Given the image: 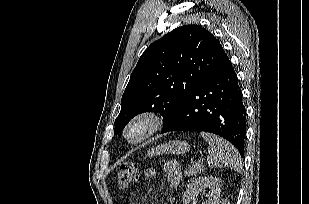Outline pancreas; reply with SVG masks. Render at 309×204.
<instances>
[{
  "label": "pancreas",
  "instance_id": "pancreas-1",
  "mask_svg": "<svg viewBox=\"0 0 309 204\" xmlns=\"http://www.w3.org/2000/svg\"><path fill=\"white\" fill-rule=\"evenodd\" d=\"M204 171V166L201 163H192L184 171L186 176H193Z\"/></svg>",
  "mask_w": 309,
  "mask_h": 204
}]
</instances>
